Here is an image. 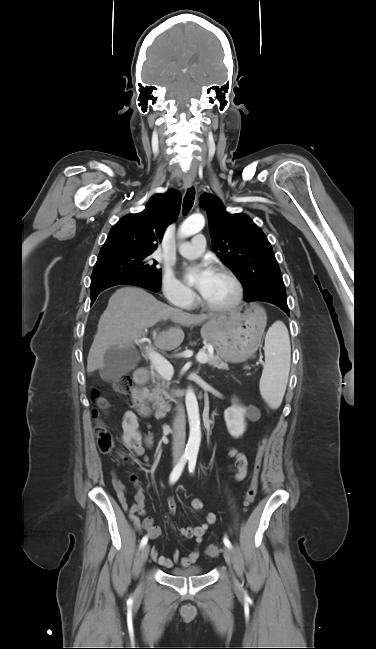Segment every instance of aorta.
Listing matches in <instances>:
<instances>
[{
	"instance_id": "1",
	"label": "aorta",
	"mask_w": 376,
	"mask_h": 649,
	"mask_svg": "<svg viewBox=\"0 0 376 649\" xmlns=\"http://www.w3.org/2000/svg\"><path fill=\"white\" fill-rule=\"evenodd\" d=\"M205 225V219L201 214H194L188 217L179 228L181 238H186L200 232ZM185 403L188 413L190 433L186 445V453L197 455L201 442L200 416L196 395L193 389L186 392Z\"/></svg>"
}]
</instances>
